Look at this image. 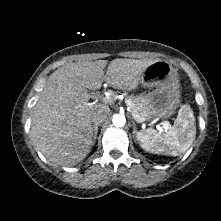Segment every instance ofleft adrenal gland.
Here are the masks:
<instances>
[{
	"mask_svg": "<svg viewBox=\"0 0 221 221\" xmlns=\"http://www.w3.org/2000/svg\"><path fill=\"white\" fill-rule=\"evenodd\" d=\"M132 123H133V134H135V133H137L136 124L134 121Z\"/></svg>",
	"mask_w": 221,
	"mask_h": 221,
	"instance_id": "left-adrenal-gland-1",
	"label": "left adrenal gland"
}]
</instances>
